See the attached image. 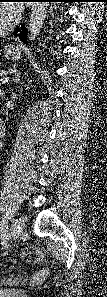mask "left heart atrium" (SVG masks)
<instances>
[{
  "instance_id": "obj_1",
  "label": "left heart atrium",
  "mask_w": 107,
  "mask_h": 297,
  "mask_svg": "<svg viewBox=\"0 0 107 297\" xmlns=\"http://www.w3.org/2000/svg\"><path fill=\"white\" fill-rule=\"evenodd\" d=\"M13 13H14V16L18 15V13H19V9H18V8H14Z\"/></svg>"
}]
</instances>
